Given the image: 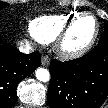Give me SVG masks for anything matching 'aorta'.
Wrapping results in <instances>:
<instances>
[{"label": "aorta", "mask_w": 108, "mask_h": 108, "mask_svg": "<svg viewBox=\"0 0 108 108\" xmlns=\"http://www.w3.org/2000/svg\"><path fill=\"white\" fill-rule=\"evenodd\" d=\"M35 75H36V78L42 82H47L50 79V73L45 68H38L35 72Z\"/></svg>", "instance_id": "1"}]
</instances>
